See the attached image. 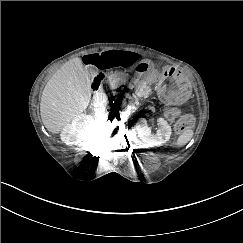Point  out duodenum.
I'll list each match as a JSON object with an SVG mask.
<instances>
[{"instance_id":"410a0bca","label":"duodenum","mask_w":243,"mask_h":243,"mask_svg":"<svg viewBox=\"0 0 243 243\" xmlns=\"http://www.w3.org/2000/svg\"><path fill=\"white\" fill-rule=\"evenodd\" d=\"M104 77H105V74L103 72H100L92 78V81H91L92 90H97L99 88L100 83L102 82Z\"/></svg>"}]
</instances>
